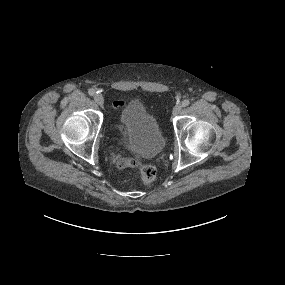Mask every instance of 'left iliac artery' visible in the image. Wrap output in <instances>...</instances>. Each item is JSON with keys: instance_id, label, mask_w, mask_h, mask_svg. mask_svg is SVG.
Here are the masks:
<instances>
[{"instance_id": "obj_1", "label": "left iliac artery", "mask_w": 285, "mask_h": 285, "mask_svg": "<svg viewBox=\"0 0 285 285\" xmlns=\"http://www.w3.org/2000/svg\"><path fill=\"white\" fill-rule=\"evenodd\" d=\"M190 104V102H189V100H184L183 102H182V106L183 107H186V106H188Z\"/></svg>"}]
</instances>
